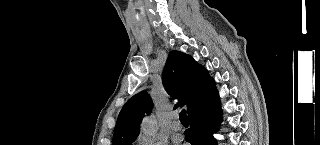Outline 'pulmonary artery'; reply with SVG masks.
Listing matches in <instances>:
<instances>
[{
  "instance_id": "1",
  "label": "pulmonary artery",
  "mask_w": 320,
  "mask_h": 145,
  "mask_svg": "<svg viewBox=\"0 0 320 145\" xmlns=\"http://www.w3.org/2000/svg\"><path fill=\"white\" fill-rule=\"evenodd\" d=\"M177 118H178V115H177V114H174V115H173V119H172V121H171V123H170L171 129L174 130V131H179V130L182 129V125H181V123L177 120Z\"/></svg>"
}]
</instances>
